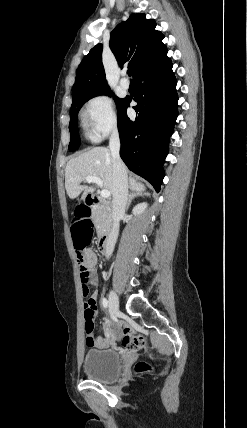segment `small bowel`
<instances>
[{"instance_id": "c3829d8e", "label": "small bowel", "mask_w": 247, "mask_h": 428, "mask_svg": "<svg viewBox=\"0 0 247 428\" xmlns=\"http://www.w3.org/2000/svg\"><path fill=\"white\" fill-rule=\"evenodd\" d=\"M84 258L92 269V280H91L90 286L95 288L98 285V276L95 270V265L97 263L96 254L91 249H87L84 252ZM97 298H98V293L97 291H94L87 301V303L94 308L95 313L97 309ZM104 327L105 329H108L109 323L105 322ZM114 339H115V335L109 333L106 337H93L90 340L86 339V343L88 346H91V347L105 348V347H108Z\"/></svg>"}]
</instances>
